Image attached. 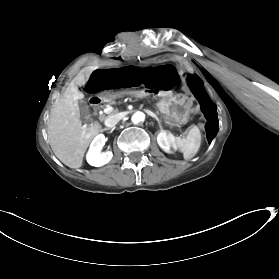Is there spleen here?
<instances>
[{"instance_id": "spleen-1", "label": "spleen", "mask_w": 279, "mask_h": 279, "mask_svg": "<svg viewBox=\"0 0 279 279\" xmlns=\"http://www.w3.org/2000/svg\"><path fill=\"white\" fill-rule=\"evenodd\" d=\"M174 146L183 154L185 160L191 159L200 146V133L198 132V129L193 127L189 131L186 139L180 140L179 138H175Z\"/></svg>"}]
</instances>
